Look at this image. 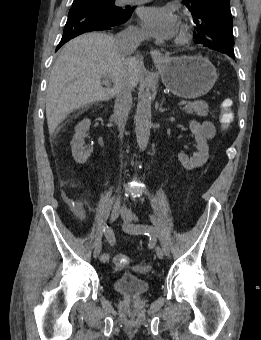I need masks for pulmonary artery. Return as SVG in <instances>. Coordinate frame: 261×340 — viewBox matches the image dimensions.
<instances>
[{"label": "pulmonary artery", "mask_w": 261, "mask_h": 340, "mask_svg": "<svg viewBox=\"0 0 261 340\" xmlns=\"http://www.w3.org/2000/svg\"><path fill=\"white\" fill-rule=\"evenodd\" d=\"M145 1H148V0H122V2H125V3H130V2H145Z\"/></svg>", "instance_id": "obj_1"}]
</instances>
